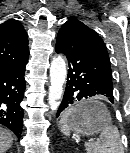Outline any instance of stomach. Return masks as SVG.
I'll return each instance as SVG.
<instances>
[{
	"label": "stomach",
	"mask_w": 130,
	"mask_h": 153,
	"mask_svg": "<svg viewBox=\"0 0 130 153\" xmlns=\"http://www.w3.org/2000/svg\"><path fill=\"white\" fill-rule=\"evenodd\" d=\"M75 108L68 118L70 130L80 135H93L102 131L103 127L111 123V116L106 107L95 100H84Z\"/></svg>",
	"instance_id": "1"
}]
</instances>
